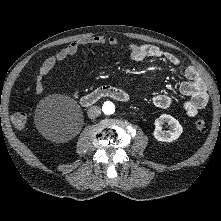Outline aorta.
<instances>
[{
	"label": "aorta",
	"mask_w": 221,
	"mask_h": 221,
	"mask_svg": "<svg viewBox=\"0 0 221 221\" xmlns=\"http://www.w3.org/2000/svg\"><path fill=\"white\" fill-rule=\"evenodd\" d=\"M114 111H115V107H114V105L111 103V102H107L106 104H105V106H104V112L106 113V114H113L114 113Z\"/></svg>",
	"instance_id": "762f6f07"
}]
</instances>
